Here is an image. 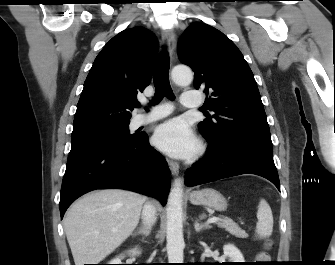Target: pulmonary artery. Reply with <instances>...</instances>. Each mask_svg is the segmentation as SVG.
<instances>
[{"mask_svg": "<svg viewBox=\"0 0 335 265\" xmlns=\"http://www.w3.org/2000/svg\"><path fill=\"white\" fill-rule=\"evenodd\" d=\"M201 103L202 99L197 91H187L181 96V104L185 108H197L201 105ZM171 111L172 106L168 103L152 106L150 112L137 115L134 119V123L136 126H142L169 115Z\"/></svg>", "mask_w": 335, "mask_h": 265, "instance_id": "pulmonary-artery-1", "label": "pulmonary artery"}]
</instances>
